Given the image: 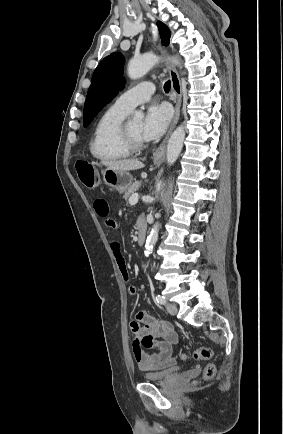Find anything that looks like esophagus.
Wrapping results in <instances>:
<instances>
[{
  "label": "esophagus",
  "instance_id": "1",
  "mask_svg": "<svg viewBox=\"0 0 283 434\" xmlns=\"http://www.w3.org/2000/svg\"><path fill=\"white\" fill-rule=\"evenodd\" d=\"M158 48L163 56H167V51L160 44H158ZM166 68L168 70L169 77L171 80V89L175 96V115L166 137L153 153V160L155 162L162 161L165 157L166 143L168 141L171 132L173 131L174 127L176 126L179 120L180 108L182 103V88H181L179 75L175 67L168 61H166Z\"/></svg>",
  "mask_w": 283,
  "mask_h": 434
}]
</instances>
